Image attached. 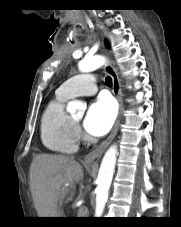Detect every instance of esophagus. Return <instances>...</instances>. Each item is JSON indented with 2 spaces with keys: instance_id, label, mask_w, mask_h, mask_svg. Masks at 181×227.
Masks as SVG:
<instances>
[{
  "instance_id": "34e87169",
  "label": "esophagus",
  "mask_w": 181,
  "mask_h": 227,
  "mask_svg": "<svg viewBox=\"0 0 181 227\" xmlns=\"http://www.w3.org/2000/svg\"><path fill=\"white\" fill-rule=\"evenodd\" d=\"M104 69L112 78V82H113L112 91L119 102V113H118L116 122L114 124V127L110 135L108 136V138L105 141H103L96 149L92 150L85 156L84 160L87 163H91L95 160H98L103 155L104 151L111 143V141L113 140V138L115 137L118 131V126H119L123 108H124L121 84L115 69L111 65H106Z\"/></svg>"
}]
</instances>
